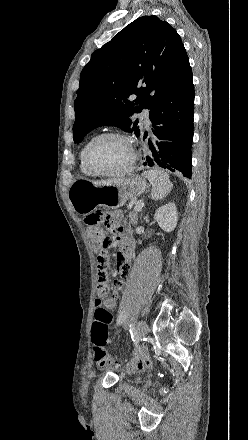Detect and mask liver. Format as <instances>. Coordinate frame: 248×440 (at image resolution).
Returning <instances> with one entry per match:
<instances>
[{"instance_id":"liver-1","label":"liver","mask_w":248,"mask_h":440,"mask_svg":"<svg viewBox=\"0 0 248 440\" xmlns=\"http://www.w3.org/2000/svg\"><path fill=\"white\" fill-rule=\"evenodd\" d=\"M121 181H123V180H121V179H117V180H109V181H104V182H94V183L97 184V185H110V184H112V183H119V182H121Z\"/></svg>"}]
</instances>
